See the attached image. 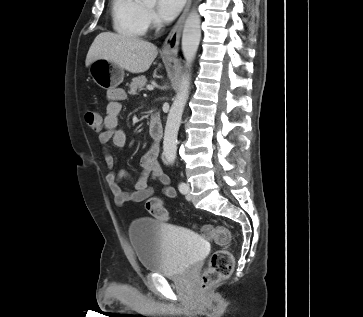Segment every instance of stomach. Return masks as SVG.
Here are the masks:
<instances>
[{"label":"stomach","instance_id":"stomach-1","mask_svg":"<svg viewBox=\"0 0 363 317\" xmlns=\"http://www.w3.org/2000/svg\"><path fill=\"white\" fill-rule=\"evenodd\" d=\"M164 60L171 62L173 59L164 57ZM89 75L98 86L111 90L123 81L124 69L111 61L97 59L90 64Z\"/></svg>","mask_w":363,"mask_h":317}]
</instances>
